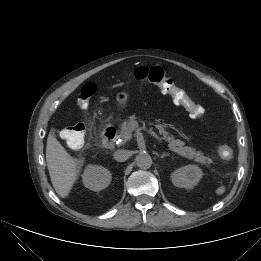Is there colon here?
Returning <instances> with one entry per match:
<instances>
[{"label":"colon","instance_id":"1","mask_svg":"<svg viewBox=\"0 0 261 261\" xmlns=\"http://www.w3.org/2000/svg\"><path fill=\"white\" fill-rule=\"evenodd\" d=\"M133 76L137 80L148 81L161 88L164 93L171 95L176 104L185 107L193 117H202L204 110L201 106L195 104L187 95L186 91L178 87L165 69L159 66L138 67L134 70ZM96 92L94 83H86L78 96V105L81 109H87L91 98ZM86 126L82 122L74 123L62 130V137L67 144L78 149L84 145ZM218 155L222 160L229 161L234 156L233 148L228 144H221L217 149Z\"/></svg>","mask_w":261,"mask_h":261}]
</instances>
